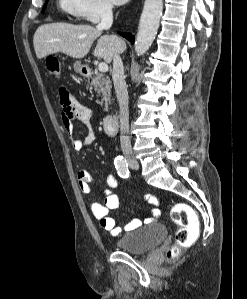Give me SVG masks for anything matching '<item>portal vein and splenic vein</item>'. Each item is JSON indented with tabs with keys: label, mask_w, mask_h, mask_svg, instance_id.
<instances>
[{
	"label": "portal vein and splenic vein",
	"mask_w": 247,
	"mask_h": 299,
	"mask_svg": "<svg viewBox=\"0 0 247 299\" xmlns=\"http://www.w3.org/2000/svg\"><path fill=\"white\" fill-rule=\"evenodd\" d=\"M98 69L100 72H107L108 71V65L104 62L99 63Z\"/></svg>",
	"instance_id": "18ae733b"
}]
</instances>
